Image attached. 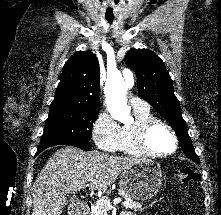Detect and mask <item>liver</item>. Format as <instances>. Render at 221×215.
Masks as SVG:
<instances>
[{
    "label": "liver",
    "mask_w": 221,
    "mask_h": 215,
    "mask_svg": "<svg viewBox=\"0 0 221 215\" xmlns=\"http://www.w3.org/2000/svg\"><path fill=\"white\" fill-rule=\"evenodd\" d=\"M140 161L96 150L60 148L49 158L32 186V215H60L70 194L87 185L107 190L125 169Z\"/></svg>",
    "instance_id": "6515ba94"
}]
</instances>
